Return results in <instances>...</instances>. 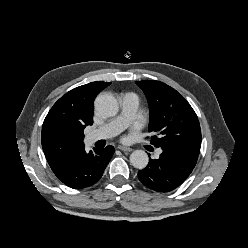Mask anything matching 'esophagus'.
<instances>
[{"label": "esophagus", "instance_id": "obj_1", "mask_svg": "<svg viewBox=\"0 0 248 248\" xmlns=\"http://www.w3.org/2000/svg\"><path fill=\"white\" fill-rule=\"evenodd\" d=\"M118 149L125 153L131 152L133 150L132 148L127 146H119Z\"/></svg>", "mask_w": 248, "mask_h": 248}]
</instances>
